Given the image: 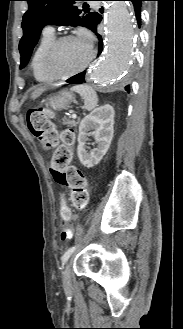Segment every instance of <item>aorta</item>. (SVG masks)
<instances>
[{
  "mask_svg": "<svg viewBox=\"0 0 183 329\" xmlns=\"http://www.w3.org/2000/svg\"><path fill=\"white\" fill-rule=\"evenodd\" d=\"M106 50L92 70L94 81L104 87L124 78L134 45V16L127 1H114L106 15Z\"/></svg>",
  "mask_w": 183,
  "mask_h": 329,
  "instance_id": "1",
  "label": "aorta"
}]
</instances>
